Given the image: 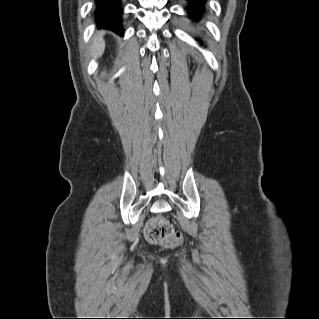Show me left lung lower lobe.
I'll use <instances>...</instances> for the list:
<instances>
[{
    "label": "left lung lower lobe",
    "instance_id": "0a47b994",
    "mask_svg": "<svg viewBox=\"0 0 319 319\" xmlns=\"http://www.w3.org/2000/svg\"><path fill=\"white\" fill-rule=\"evenodd\" d=\"M187 2L186 11L189 17L194 21H199L205 11L206 0H187Z\"/></svg>",
    "mask_w": 319,
    "mask_h": 319
}]
</instances>
